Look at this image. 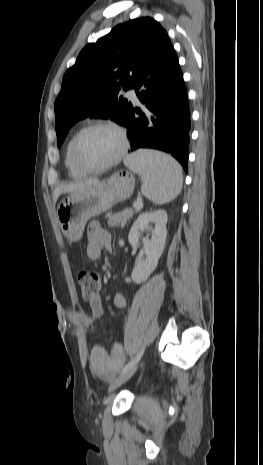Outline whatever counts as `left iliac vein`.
<instances>
[{"instance_id": "left-iliac-vein-1", "label": "left iliac vein", "mask_w": 263, "mask_h": 465, "mask_svg": "<svg viewBox=\"0 0 263 465\" xmlns=\"http://www.w3.org/2000/svg\"><path fill=\"white\" fill-rule=\"evenodd\" d=\"M138 366H139V363L137 362L130 369H128L125 373H123L117 379H115L109 387V392L114 391L115 389L120 387L123 383H125L128 379H130L132 375L138 369Z\"/></svg>"}]
</instances>
